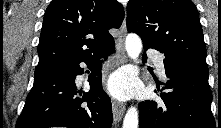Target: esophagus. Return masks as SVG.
I'll return each mask as SVG.
<instances>
[{"instance_id": "34e87169", "label": "esophagus", "mask_w": 221, "mask_h": 128, "mask_svg": "<svg viewBox=\"0 0 221 128\" xmlns=\"http://www.w3.org/2000/svg\"><path fill=\"white\" fill-rule=\"evenodd\" d=\"M127 30H126V19L124 18L121 28L119 30V35L116 41V54L119 63H124L127 61V56L125 52V38H126ZM112 111L114 120L119 121L124 112L125 105L122 102L117 100L112 101Z\"/></svg>"}]
</instances>
